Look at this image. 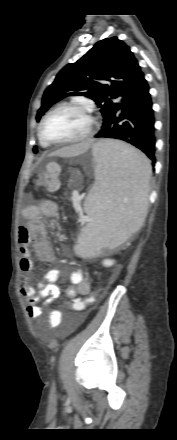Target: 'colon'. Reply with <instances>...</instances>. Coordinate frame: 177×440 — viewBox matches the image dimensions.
Listing matches in <instances>:
<instances>
[{"label":"colon","mask_w":177,"mask_h":440,"mask_svg":"<svg viewBox=\"0 0 177 440\" xmlns=\"http://www.w3.org/2000/svg\"><path fill=\"white\" fill-rule=\"evenodd\" d=\"M59 174V166L50 164L44 171L35 174L33 182L37 186L55 191L59 188ZM98 295L99 292L96 291L93 295L86 298H65L64 303L68 306L69 311H84L85 305L93 304Z\"/></svg>","instance_id":"obj_1"}]
</instances>
